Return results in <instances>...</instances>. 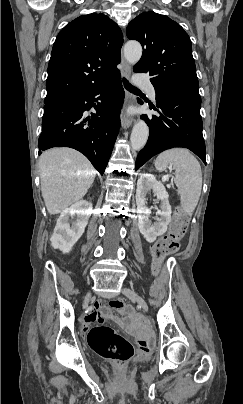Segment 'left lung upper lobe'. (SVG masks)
Returning a JSON list of instances; mask_svg holds the SVG:
<instances>
[{
	"instance_id": "1",
	"label": "left lung upper lobe",
	"mask_w": 243,
	"mask_h": 404,
	"mask_svg": "<svg viewBox=\"0 0 243 404\" xmlns=\"http://www.w3.org/2000/svg\"><path fill=\"white\" fill-rule=\"evenodd\" d=\"M126 33L143 47L134 72L152 76L150 81L155 91L199 94L191 40L178 23L149 11L133 19Z\"/></svg>"
}]
</instances>
